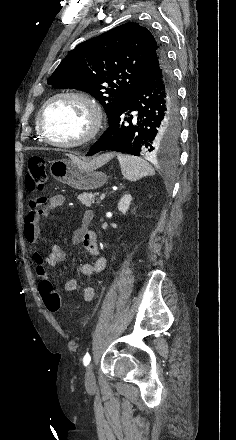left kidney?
Segmentation results:
<instances>
[{
    "mask_svg": "<svg viewBox=\"0 0 236 440\" xmlns=\"http://www.w3.org/2000/svg\"><path fill=\"white\" fill-rule=\"evenodd\" d=\"M131 201H132V196L130 194L123 195V197L120 199L118 203V210L125 215L129 209Z\"/></svg>",
    "mask_w": 236,
    "mask_h": 440,
    "instance_id": "5707ae66",
    "label": "left kidney"
}]
</instances>
